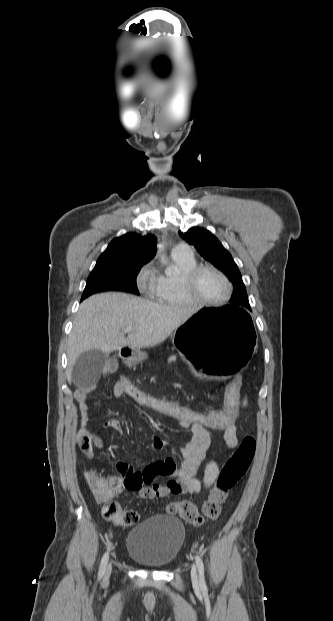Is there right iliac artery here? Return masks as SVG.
Masks as SVG:
<instances>
[{"instance_id":"right-iliac-artery-1","label":"right iliac artery","mask_w":333,"mask_h":621,"mask_svg":"<svg viewBox=\"0 0 333 621\" xmlns=\"http://www.w3.org/2000/svg\"><path fill=\"white\" fill-rule=\"evenodd\" d=\"M108 559H109V552L107 551L103 555L101 563H100L99 572H98L99 579L102 578L104 573H105V569H106V565L108 563Z\"/></svg>"}]
</instances>
